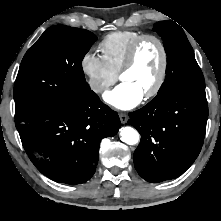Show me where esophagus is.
<instances>
[{
  "instance_id": "1",
  "label": "esophagus",
  "mask_w": 221,
  "mask_h": 221,
  "mask_svg": "<svg viewBox=\"0 0 221 221\" xmlns=\"http://www.w3.org/2000/svg\"><path fill=\"white\" fill-rule=\"evenodd\" d=\"M119 117L122 124H125L128 121V115L125 113H120Z\"/></svg>"
}]
</instances>
